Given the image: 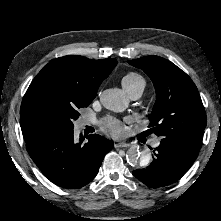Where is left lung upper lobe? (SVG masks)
Returning <instances> with one entry per match:
<instances>
[{"instance_id":"1","label":"left lung upper lobe","mask_w":221,"mask_h":221,"mask_svg":"<svg viewBox=\"0 0 221 221\" xmlns=\"http://www.w3.org/2000/svg\"><path fill=\"white\" fill-rule=\"evenodd\" d=\"M128 63L142 69L156 89V102L149 115L150 131L161 138L160 144L196 158L206 127V113L194 82L162 57L146 56Z\"/></svg>"}]
</instances>
